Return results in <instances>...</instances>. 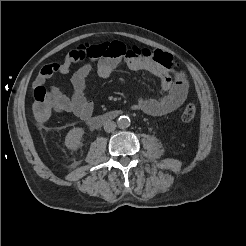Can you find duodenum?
Returning a JSON list of instances; mask_svg holds the SVG:
<instances>
[{"label":"duodenum","mask_w":246,"mask_h":246,"mask_svg":"<svg viewBox=\"0 0 246 246\" xmlns=\"http://www.w3.org/2000/svg\"><path fill=\"white\" fill-rule=\"evenodd\" d=\"M121 114H122L121 111L113 110V111H109V112H106V113L91 117L88 122H89L90 126H92L94 128H99L104 123L117 118Z\"/></svg>","instance_id":"1"}]
</instances>
